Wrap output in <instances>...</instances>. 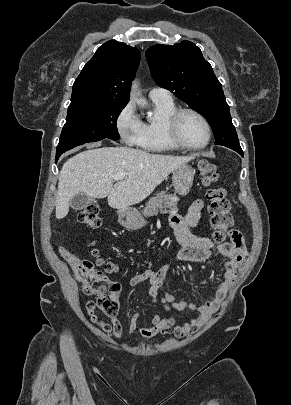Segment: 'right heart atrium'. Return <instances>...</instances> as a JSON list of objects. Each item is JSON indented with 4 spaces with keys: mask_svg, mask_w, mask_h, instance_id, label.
I'll use <instances>...</instances> for the list:
<instances>
[{
    "mask_svg": "<svg viewBox=\"0 0 291 405\" xmlns=\"http://www.w3.org/2000/svg\"><path fill=\"white\" fill-rule=\"evenodd\" d=\"M115 126L121 140L129 146L139 144L142 133V121L136 114L132 103H127L117 114Z\"/></svg>",
    "mask_w": 291,
    "mask_h": 405,
    "instance_id": "1",
    "label": "right heart atrium"
}]
</instances>
